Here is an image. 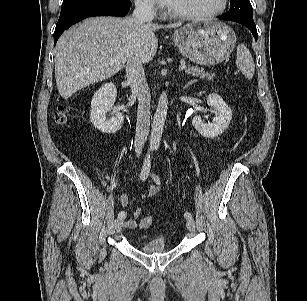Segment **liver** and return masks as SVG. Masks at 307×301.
<instances>
[{
  "label": "liver",
  "mask_w": 307,
  "mask_h": 301,
  "mask_svg": "<svg viewBox=\"0 0 307 301\" xmlns=\"http://www.w3.org/2000/svg\"><path fill=\"white\" fill-rule=\"evenodd\" d=\"M180 23L140 26L132 17H92L68 29L56 44L55 78L64 99L91 84L110 78L134 51L141 63L156 54L154 31L177 28Z\"/></svg>",
  "instance_id": "liver-1"
}]
</instances>
